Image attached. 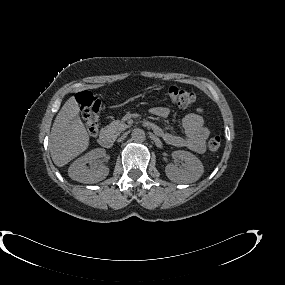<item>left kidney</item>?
Instances as JSON below:
<instances>
[{
	"mask_svg": "<svg viewBox=\"0 0 285 285\" xmlns=\"http://www.w3.org/2000/svg\"><path fill=\"white\" fill-rule=\"evenodd\" d=\"M174 159L184 162L183 167L169 164L165 168L167 177L177 183H192L197 181L204 172L202 162L191 152L177 150L172 153Z\"/></svg>",
	"mask_w": 285,
	"mask_h": 285,
	"instance_id": "obj_1",
	"label": "left kidney"
}]
</instances>
